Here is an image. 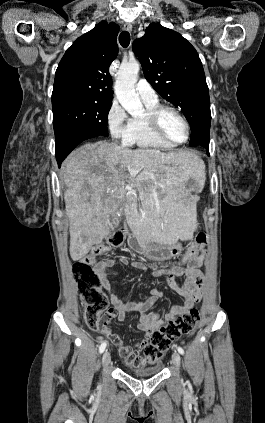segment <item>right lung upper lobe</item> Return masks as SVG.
Segmentation results:
<instances>
[{
  "label": "right lung upper lobe",
  "instance_id": "cb5924a9",
  "mask_svg": "<svg viewBox=\"0 0 265 423\" xmlns=\"http://www.w3.org/2000/svg\"><path fill=\"white\" fill-rule=\"evenodd\" d=\"M119 26L102 21L65 52L55 74L52 99L79 96L112 101L109 66L118 54Z\"/></svg>",
  "mask_w": 265,
  "mask_h": 423
}]
</instances>
